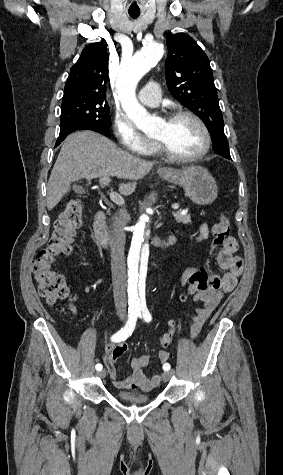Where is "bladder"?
Masks as SVG:
<instances>
[{
    "label": "bladder",
    "instance_id": "obj_1",
    "mask_svg": "<svg viewBox=\"0 0 283 475\" xmlns=\"http://www.w3.org/2000/svg\"><path fill=\"white\" fill-rule=\"evenodd\" d=\"M114 397L122 401L126 404H133V405H146L153 401L154 395H150L147 393H142L138 390H119L114 393Z\"/></svg>",
    "mask_w": 283,
    "mask_h": 475
}]
</instances>
